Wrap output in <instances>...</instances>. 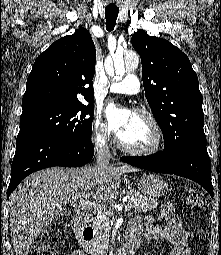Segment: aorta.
<instances>
[{"mask_svg": "<svg viewBox=\"0 0 221 255\" xmlns=\"http://www.w3.org/2000/svg\"><path fill=\"white\" fill-rule=\"evenodd\" d=\"M139 63L136 53L130 51L123 54H115L113 56V68L106 64V71L111 74L114 71V79L121 80L125 74V71H133L137 68Z\"/></svg>", "mask_w": 221, "mask_h": 255, "instance_id": "762f6f07", "label": "aorta"}]
</instances>
